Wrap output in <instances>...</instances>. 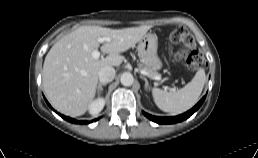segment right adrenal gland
<instances>
[{
	"mask_svg": "<svg viewBox=\"0 0 258 158\" xmlns=\"http://www.w3.org/2000/svg\"><path fill=\"white\" fill-rule=\"evenodd\" d=\"M106 84H107V83H100V84L98 85V87H97V93H98L99 95H101V93H102V91H103L102 86H106Z\"/></svg>",
	"mask_w": 258,
	"mask_h": 158,
	"instance_id": "1",
	"label": "right adrenal gland"
}]
</instances>
